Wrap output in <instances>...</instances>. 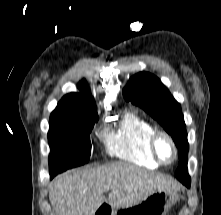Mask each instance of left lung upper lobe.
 Returning <instances> with one entry per match:
<instances>
[{
  "instance_id": "obj_1",
  "label": "left lung upper lobe",
  "mask_w": 221,
  "mask_h": 215,
  "mask_svg": "<svg viewBox=\"0 0 221 215\" xmlns=\"http://www.w3.org/2000/svg\"><path fill=\"white\" fill-rule=\"evenodd\" d=\"M124 98L140 106L170 134L178 147L179 164L175 176L191 181L187 169L188 141L180 104L154 75L141 72L132 76L123 89Z\"/></svg>"
}]
</instances>
